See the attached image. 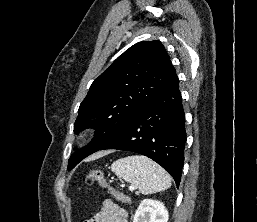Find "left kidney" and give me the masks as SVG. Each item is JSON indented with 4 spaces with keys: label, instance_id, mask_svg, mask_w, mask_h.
I'll list each match as a JSON object with an SVG mask.
<instances>
[{
    "label": "left kidney",
    "instance_id": "1",
    "mask_svg": "<svg viewBox=\"0 0 257 222\" xmlns=\"http://www.w3.org/2000/svg\"><path fill=\"white\" fill-rule=\"evenodd\" d=\"M168 217V211L163 203L144 199L136 210L133 222H167Z\"/></svg>",
    "mask_w": 257,
    "mask_h": 222
}]
</instances>
